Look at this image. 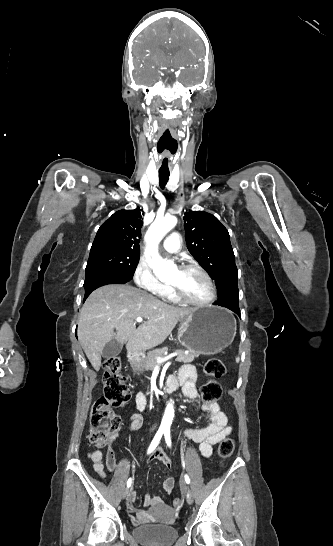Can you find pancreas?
Here are the masks:
<instances>
[{
  "label": "pancreas",
  "instance_id": "obj_1",
  "mask_svg": "<svg viewBox=\"0 0 333 546\" xmlns=\"http://www.w3.org/2000/svg\"><path fill=\"white\" fill-rule=\"evenodd\" d=\"M167 350V347H163L149 351L146 358L143 360V367L145 368V370H153L157 365V358L165 357L164 353ZM176 352L179 353L176 358V361L178 362L190 363L193 362L194 359L198 356V354L195 352H189L188 354L184 353L182 350H177Z\"/></svg>",
  "mask_w": 333,
  "mask_h": 546
}]
</instances>
